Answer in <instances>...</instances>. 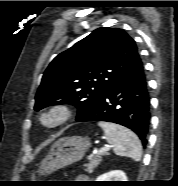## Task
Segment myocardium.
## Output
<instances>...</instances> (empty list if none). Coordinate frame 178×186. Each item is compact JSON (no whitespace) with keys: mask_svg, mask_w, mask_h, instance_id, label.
<instances>
[{"mask_svg":"<svg viewBox=\"0 0 178 186\" xmlns=\"http://www.w3.org/2000/svg\"><path fill=\"white\" fill-rule=\"evenodd\" d=\"M72 116L73 110L70 106L64 103H58L42 109L39 112L37 119L43 128L55 130L66 124Z\"/></svg>","mask_w":178,"mask_h":186,"instance_id":"f54148a6","label":"myocardium"}]
</instances>
